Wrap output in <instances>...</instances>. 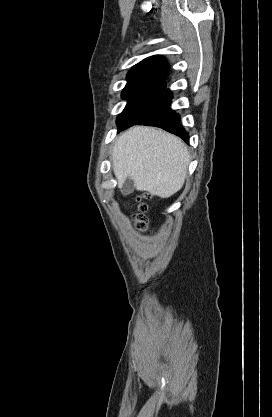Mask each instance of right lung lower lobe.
<instances>
[{
	"label": "right lung lower lobe",
	"instance_id": "right-lung-lower-lobe-1",
	"mask_svg": "<svg viewBox=\"0 0 272 417\" xmlns=\"http://www.w3.org/2000/svg\"><path fill=\"white\" fill-rule=\"evenodd\" d=\"M171 99V92L169 90L165 92L164 88L163 93L153 103L149 110L136 122L127 126L126 128L131 127L133 125L156 126L163 128L164 130L170 133H174L175 135L181 137L185 142H188V133L179 124V114H176L174 111L170 109Z\"/></svg>",
	"mask_w": 272,
	"mask_h": 417
}]
</instances>
